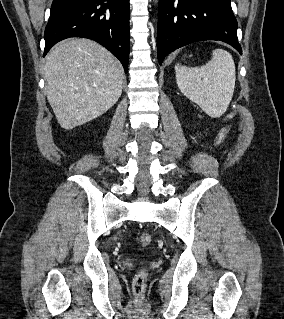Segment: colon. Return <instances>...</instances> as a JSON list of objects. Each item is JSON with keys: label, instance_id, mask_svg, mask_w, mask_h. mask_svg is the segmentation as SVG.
Returning <instances> with one entry per match:
<instances>
[{"label": "colon", "instance_id": "obj_1", "mask_svg": "<svg viewBox=\"0 0 284 319\" xmlns=\"http://www.w3.org/2000/svg\"><path fill=\"white\" fill-rule=\"evenodd\" d=\"M236 113L235 112H229L225 114L224 120H225V125L220 128L217 137H216V143L217 145H221L225 142L227 138V134L229 131V123L233 121L236 118ZM152 242V237L148 233H143L139 237V243L142 247H147L151 244ZM147 278V273L145 270H140L136 276L134 277L133 280V291L136 295L140 296L143 294L144 289H145V282Z\"/></svg>", "mask_w": 284, "mask_h": 319}]
</instances>
